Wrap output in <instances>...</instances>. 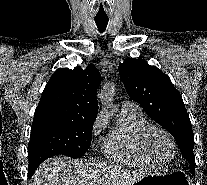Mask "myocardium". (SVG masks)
<instances>
[{
    "label": "myocardium",
    "mask_w": 207,
    "mask_h": 185,
    "mask_svg": "<svg viewBox=\"0 0 207 185\" xmlns=\"http://www.w3.org/2000/svg\"><path fill=\"white\" fill-rule=\"evenodd\" d=\"M160 132L162 133L164 136H166L172 143L173 145V148H174V151H173V155L170 159L168 160H165V159H162L153 149L152 145H151V135L154 133V132ZM141 142H142V145L145 149V151L154 159L156 160L157 162L159 163H169L171 162L175 156H176V153H177V144H176V141L174 139V137L171 135V133L165 129L164 127L160 126V125H153V124H149L142 132V135H141Z\"/></svg>",
    "instance_id": "myocardium-1"
}]
</instances>
